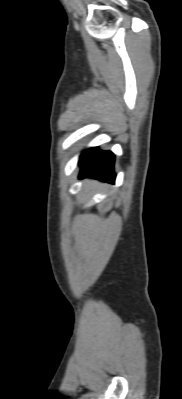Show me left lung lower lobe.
I'll use <instances>...</instances> for the list:
<instances>
[{"instance_id": "left-lung-lower-lobe-1", "label": "left lung lower lobe", "mask_w": 182, "mask_h": 399, "mask_svg": "<svg viewBox=\"0 0 182 399\" xmlns=\"http://www.w3.org/2000/svg\"><path fill=\"white\" fill-rule=\"evenodd\" d=\"M81 172L79 178L93 177L114 183V154L111 151H99L97 147L85 150L79 159Z\"/></svg>"}]
</instances>
